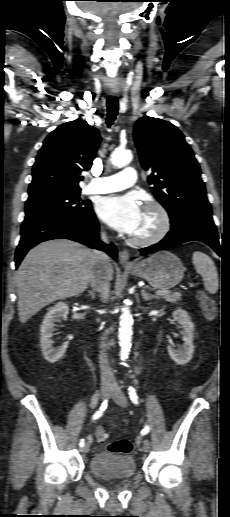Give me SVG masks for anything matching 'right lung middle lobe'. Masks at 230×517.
Listing matches in <instances>:
<instances>
[{"mask_svg":"<svg viewBox=\"0 0 230 517\" xmlns=\"http://www.w3.org/2000/svg\"><path fill=\"white\" fill-rule=\"evenodd\" d=\"M80 190L26 201L25 213L33 214L47 211L78 214L91 211L90 201H81Z\"/></svg>","mask_w":230,"mask_h":517,"instance_id":"1","label":"right lung middle lobe"}]
</instances>
